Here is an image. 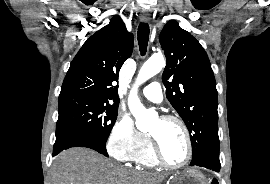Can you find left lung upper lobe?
I'll use <instances>...</instances> for the list:
<instances>
[{"label":"left lung upper lobe","instance_id":"1","mask_svg":"<svg viewBox=\"0 0 270 184\" xmlns=\"http://www.w3.org/2000/svg\"><path fill=\"white\" fill-rule=\"evenodd\" d=\"M159 42L167 60L162 75L166 96L190 132L191 162L219 152L218 96L207 53L175 20L164 26Z\"/></svg>","mask_w":270,"mask_h":184}]
</instances>
